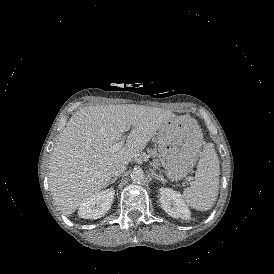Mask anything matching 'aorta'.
Masks as SVG:
<instances>
[{"mask_svg": "<svg viewBox=\"0 0 274 274\" xmlns=\"http://www.w3.org/2000/svg\"><path fill=\"white\" fill-rule=\"evenodd\" d=\"M145 179L144 172L141 169H136L131 172V180L135 183H141Z\"/></svg>", "mask_w": 274, "mask_h": 274, "instance_id": "aorta-1", "label": "aorta"}]
</instances>
